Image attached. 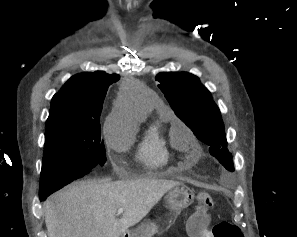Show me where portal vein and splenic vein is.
<instances>
[{
    "label": "portal vein and splenic vein",
    "instance_id": "portal-vein-and-splenic-vein-1",
    "mask_svg": "<svg viewBox=\"0 0 297 237\" xmlns=\"http://www.w3.org/2000/svg\"><path fill=\"white\" fill-rule=\"evenodd\" d=\"M123 211H124V209H123V208H119V209H118V211H117V215H120V214H122V213H123Z\"/></svg>",
    "mask_w": 297,
    "mask_h": 237
}]
</instances>
